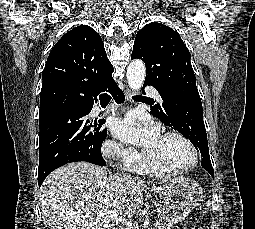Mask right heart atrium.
I'll use <instances>...</instances> for the list:
<instances>
[{
    "instance_id": "d8ad5b80",
    "label": "right heart atrium",
    "mask_w": 255,
    "mask_h": 229,
    "mask_svg": "<svg viewBox=\"0 0 255 229\" xmlns=\"http://www.w3.org/2000/svg\"><path fill=\"white\" fill-rule=\"evenodd\" d=\"M102 151L107 158L117 160L124 165L139 158V154L134 149L125 147L114 140L105 141Z\"/></svg>"
}]
</instances>
